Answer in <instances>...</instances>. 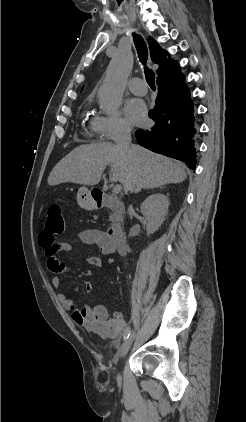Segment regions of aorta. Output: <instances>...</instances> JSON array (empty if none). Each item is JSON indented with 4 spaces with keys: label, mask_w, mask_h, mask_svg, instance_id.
I'll return each mask as SVG.
<instances>
[{
    "label": "aorta",
    "mask_w": 246,
    "mask_h": 422,
    "mask_svg": "<svg viewBox=\"0 0 246 422\" xmlns=\"http://www.w3.org/2000/svg\"><path fill=\"white\" fill-rule=\"evenodd\" d=\"M132 65L133 57L129 50H119L111 59L98 92L100 106L107 114H114L118 110Z\"/></svg>",
    "instance_id": "762f6f07"
}]
</instances>
